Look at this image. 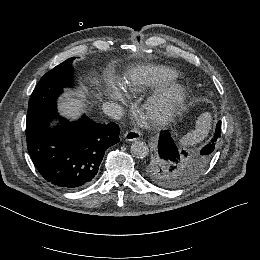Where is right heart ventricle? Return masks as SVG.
I'll use <instances>...</instances> for the list:
<instances>
[{"label":"right heart ventricle","instance_id":"right-heart-ventricle-1","mask_svg":"<svg viewBox=\"0 0 260 260\" xmlns=\"http://www.w3.org/2000/svg\"><path fill=\"white\" fill-rule=\"evenodd\" d=\"M179 74L170 67L163 65H145L135 71L131 80L122 83V88L132 95L157 90L175 82Z\"/></svg>","mask_w":260,"mask_h":260}]
</instances>
